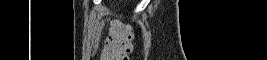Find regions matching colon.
<instances>
[{
    "label": "colon",
    "mask_w": 267,
    "mask_h": 60,
    "mask_svg": "<svg viewBox=\"0 0 267 60\" xmlns=\"http://www.w3.org/2000/svg\"><path fill=\"white\" fill-rule=\"evenodd\" d=\"M117 26L110 31L101 51L103 60H129L132 47V26L115 21Z\"/></svg>",
    "instance_id": "5ec220e1"
}]
</instances>
